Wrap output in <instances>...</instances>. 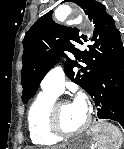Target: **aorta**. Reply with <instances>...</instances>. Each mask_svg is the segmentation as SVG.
<instances>
[{
  "mask_svg": "<svg viewBox=\"0 0 124 149\" xmlns=\"http://www.w3.org/2000/svg\"><path fill=\"white\" fill-rule=\"evenodd\" d=\"M82 21H83V17L79 15L74 20L69 21V24H80Z\"/></svg>",
  "mask_w": 124,
  "mask_h": 149,
  "instance_id": "obj_1",
  "label": "aorta"
}]
</instances>
